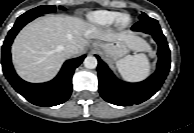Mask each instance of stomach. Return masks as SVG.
<instances>
[{
  "mask_svg": "<svg viewBox=\"0 0 194 133\" xmlns=\"http://www.w3.org/2000/svg\"><path fill=\"white\" fill-rule=\"evenodd\" d=\"M98 46L102 49L103 54L110 60H117L126 55L129 48L124 42L100 43Z\"/></svg>",
  "mask_w": 194,
  "mask_h": 133,
  "instance_id": "0dacf381",
  "label": "stomach"
}]
</instances>
